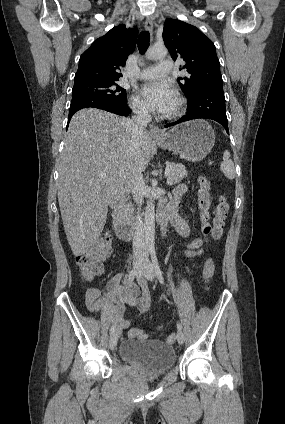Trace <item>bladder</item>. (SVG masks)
I'll list each match as a JSON object with an SVG mask.
<instances>
[{"mask_svg": "<svg viewBox=\"0 0 285 424\" xmlns=\"http://www.w3.org/2000/svg\"><path fill=\"white\" fill-rule=\"evenodd\" d=\"M123 362L131 364L148 374L169 371L176 361L175 349L162 340H124L119 347Z\"/></svg>", "mask_w": 285, "mask_h": 424, "instance_id": "31cf9c89", "label": "bladder"}]
</instances>
